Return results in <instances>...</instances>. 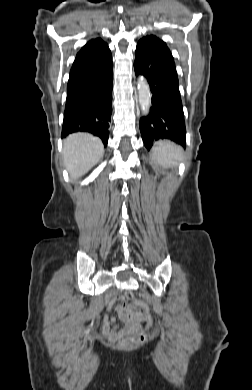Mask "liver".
<instances>
[{
	"label": "liver",
	"mask_w": 252,
	"mask_h": 390,
	"mask_svg": "<svg viewBox=\"0 0 252 390\" xmlns=\"http://www.w3.org/2000/svg\"><path fill=\"white\" fill-rule=\"evenodd\" d=\"M104 153L101 140L88 133L69 135L63 144L64 165L72 179L86 174Z\"/></svg>",
	"instance_id": "6515ba94"
}]
</instances>
